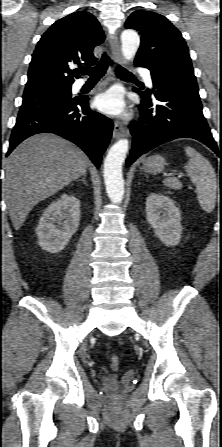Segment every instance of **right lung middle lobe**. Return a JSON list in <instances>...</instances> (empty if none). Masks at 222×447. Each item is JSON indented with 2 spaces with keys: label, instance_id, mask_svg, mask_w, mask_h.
Returning <instances> with one entry per match:
<instances>
[{
  "label": "right lung middle lobe",
  "instance_id": "right-lung-middle-lobe-1",
  "mask_svg": "<svg viewBox=\"0 0 222 447\" xmlns=\"http://www.w3.org/2000/svg\"><path fill=\"white\" fill-rule=\"evenodd\" d=\"M71 88L24 94L23 102L18 115H26L48 107L71 101Z\"/></svg>",
  "mask_w": 222,
  "mask_h": 447
}]
</instances>
